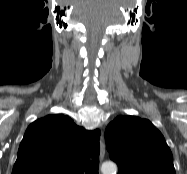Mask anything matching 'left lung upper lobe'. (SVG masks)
Wrapping results in <instances>:
<instances>
[{
    "mask_svg": "<svg viewBox=\"0 0 187 174\" xmlns=\"http://www.w3.org/2000/svg\"><path fill=\"white\" fill-rule=\"evenodd\" d=\"M105 140L118 174H175L172 153L155 126L136 116H118Z\"/></svg>",
    "mask_w": 187,
    "mask_h": 174,
    "instance_id": "left-lung-upper-lobe-1",
    "label": "left lung upper lobe"
}]
</instances>
